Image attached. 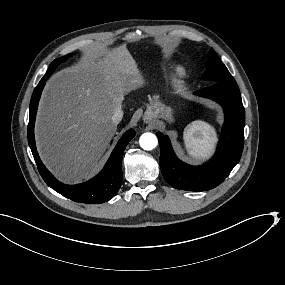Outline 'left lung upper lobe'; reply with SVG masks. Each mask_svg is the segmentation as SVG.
<instances>
[{
    "label": "left lung upper lobe",
    "instance_id": "left-lung-upper-lobe-1",
    "mask_svg": "<svg viewBox=\"0 0 285 285\" xmlns=\"http://www.w3.org/2000/svg\"><path fill=\"white\" fill-rule=\"evenodd\" d=\"M204 80L212 83H234L235 80L226 66L220 61L213 49H210L207 60V70L203 74Z\"/></svg>",
    "mask_w": 285,
    "mask_h": 285
}]
</instances>
